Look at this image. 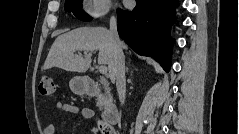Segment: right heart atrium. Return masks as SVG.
<instances>
[{
  "instance_id": "obj_1",
  "label": "right heart atrium",
  "mask_w": 239,
  "mask_h": 134,
  "mask_svg": "<svg viewBox=\"0 0 239 134\" xmlns=\"http://www.w3.org/2000/svg\"><path fill=\"white\" fill-rule=\"evenodd\" d=\"M112 7L110 0H88L84 5V10L88 16L98 19L106 16Z\"/></svg>"
}]
</instances>
